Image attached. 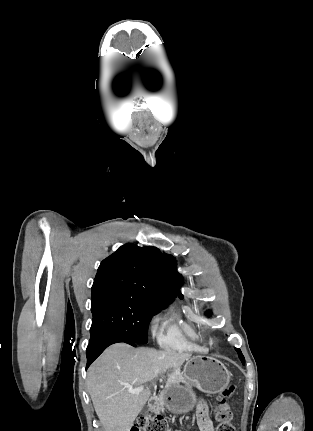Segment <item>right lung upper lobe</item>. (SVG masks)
<instances>
[{
    "label": "right lung upper lobe",
    "mask_w": 313,
    "mask_h": 431,
    "mask_svg": "<svg viewBox=\"0 0 313 431\" xmlns=\"http://www.w3.org/2000/svg\"><path fill=\"white\" fill-rule=\"evenodd\" d=\"M165 256L155 247L128 243L103 260L92 286V297L122 292L166 306L176 297Z\"/></svg>",
    "instance_id": "obj_1"
}]
</instances>
